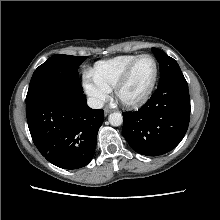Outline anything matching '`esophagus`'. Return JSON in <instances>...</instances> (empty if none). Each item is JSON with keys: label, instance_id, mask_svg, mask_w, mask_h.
Segmentation results:
<instances>
[{"label": "esophagus", "instance_id": "34e87169", "mask_svg": "<svg viewBox=\"0 0 220 220\" xmlns=\"http://www.w3.org/2000/svg\"><path fill=\"white\" fill-rule=\"evenodd\" d=\"M111 111H112V110L109 109V108H105V109H104V113H105V115L109 114Z\"/></svg>", "mask_w": 220, "mask_h": 220}]
</instances>
